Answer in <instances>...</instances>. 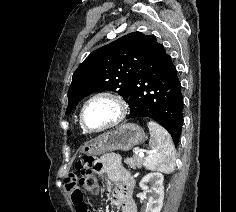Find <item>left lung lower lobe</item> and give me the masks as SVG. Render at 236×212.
Listing matches in <instances>:
<instances>
[{
	"mask_svg": "<svg viewBox=\"0 0 236 212\" xmlns=\"http://www.w3.org/2000/svg\"><path fill=\"white\" fill-rule=\"evenodd\" d=\"M129 118L148 117L161 124L177 145L183 125V97L176 67L164 46L151 36L125 100Z\"/></svg>",
	"mask_w": 236,
	"mask_h": 212,
	"instance_id": "obj_1",
	"label": "left lung lower lobe"
}]
</instances>
